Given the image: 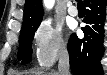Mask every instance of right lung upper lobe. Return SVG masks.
Returning <instances> with one entry per match:
<instances>
[{
	"label": "right lung upper lobe",
	"instance_id": "cb5924a9",
	"mask_svg": "<svg viewBox=\"0 0 107 75\" xmlns=\"http://www.w3.org/2000/svg\"><path fill=\"white\" fill-rule=\"evenodd\" d=\"M43 8L41 0H26L24 6L23 24L41 23Z\"/></svg>",
	"mask_w": 107,
	"mask_h": 75
}]
</instances>
